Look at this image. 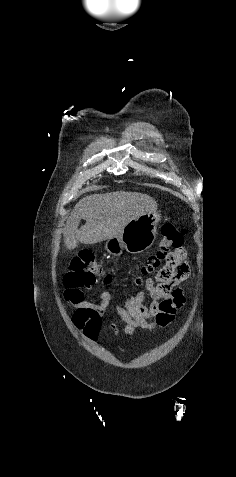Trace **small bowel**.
<instances>
[{
    "instance_id": "small-bowel-1",
    "label": "small bowel",
    "mask_w": 236,
    "mask_h": 477,
    "mask_svg": "<svg viewBox=\"0 0 236 477\" xmlns=\"http://www.w3.org/2000/svg\"><path fill=\"white\" fill-rule=\"evenodd\" d=\"M182 272L183 275L176 279L172 286L185 280L188 274L185 260ZM145 288L150 295V303H145L143 291L125 296L123 305L115 307V321L109 326L110 330L114 332L121 324L124 332L131 335L138 328L143 330L166 329L172 324L175 314L185 303L182 290L176 289L173 293L165 292L157 281L150 278L146 280ZM65 298L75 306L71 318L73 326L88 339L96 341L102 329V317L112 301L111 293L106 289L103 290L97 303L73 301L67 292H65Z\"/></svg>"
}]
</instances>
